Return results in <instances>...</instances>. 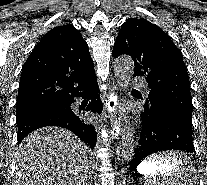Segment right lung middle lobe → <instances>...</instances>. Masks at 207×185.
<instances>
[{
    "instance_id": "1",
    "label": "right lung middle lobe",
    "mask_w": 207,
    "mask_h": 185,
    "mask_svg": "<svg viewBox=\"0 0 207 185\" xmlns=\"http://www.w3.org/2000/svg\"><path fill=\"white\" fill-rule=\"evenodd\" d=\"M57 106H59V105L58 104H55V105H50V106H47V107L33 109V110L18 111V112H16V120H19L20 118L25 117V116H28L30 114H33L35 112L43 111V110H46L48 108L57 107Z\"/></svg>"
}]
</instances>
